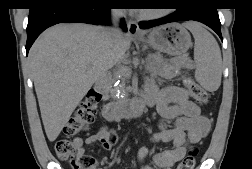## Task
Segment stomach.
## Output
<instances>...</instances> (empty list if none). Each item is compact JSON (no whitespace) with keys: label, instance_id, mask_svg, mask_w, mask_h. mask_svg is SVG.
<instances>
[{"label":"stomach","instance_id":"0dacf381","mask_svg":"<svg viewBox=\"0 0 252 169\" xmlns=\"http://www.w3.org/2000/svg\"><path fill=\"white\" fill-rule=\"evenodd\" d=\"M152 48L170 55H182L192 45L189 32L183 25L170 23L150 31L147 38L140 37Z\"/></svg>","mask_w":252,"mask_h":169}]
</instances>
